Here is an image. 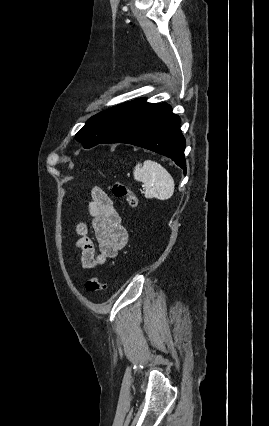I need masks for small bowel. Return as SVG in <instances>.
<instances>
[{
  "instance_id": "small-bowel-1",
  "label": "small bowel",
  "mask_w": 269,
  "mask_h": 426,
  "mask_svg": "<svg viewBox=\"0 0 269 426\" xmlns=\"http://www.w3.org/2000/svg\"><path fill=\"white\" fill-rule=\"evenodd\" d=\"M91 197L89 213L99 248L96 252L92 239L87 235L85 224L76 223L74 231L78 239L74 251L80 253L78 270H92L104 265L109 259L115 258L128 242L127 230L112 199L97 187L91 190Z\"/></svg>"
}]
</instances>
